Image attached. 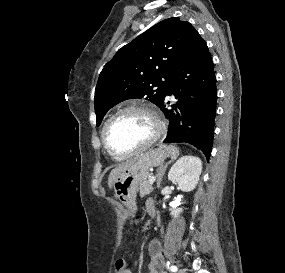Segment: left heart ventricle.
I'll return each instance as SVG.
<instances>
[{
  "label": "left heart ventricle",
  "mask_w": 285,
  "mask_h": 273,
  "mask_svg": "<svg viewBox=\"0 0 285 273\" xmlns=\"http://www.w3.org/2000/svg\"><path fill=\"white\" fill-rule=\"evenodd\" d=\"M154 131L153 121L148 115L130 111L114 120L107 137L112 148L119 152H129L147 142Z\"/></svg>",
  "instance_id": "left-heart-ventricle-1"
}]
</instances>
